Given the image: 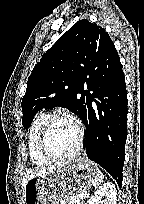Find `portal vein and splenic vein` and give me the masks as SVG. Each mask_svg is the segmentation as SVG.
<instances>
[{"mask_svg": "<svg viewBox=\"0 0 144 204\" xmlns=\"http://www.w3.org/2000/svg\"><path fill=\"white\" fill-rule=\"evenodd\" d=\"M76 202H77V204H80V200H79V199H77V201H76Z\"/></svg>", "mask_w": 144, "mask_h": 204, "instance_id": "18ae733b", "label": "portal vein and splenic vein"}]
</instances>
